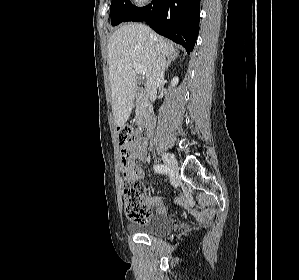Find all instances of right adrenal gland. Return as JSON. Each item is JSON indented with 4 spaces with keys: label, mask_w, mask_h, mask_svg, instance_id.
I'll return each instance as SVG.
<instances>
[{
    "label": "right adrenal gland",
    "mask_w": 299,
    "mask_h": 280,
    "mask_svg": "<svg viewBox=\"0 0 299 280\" xmlns=\"http://www.w3.org/2000/svg\"><path fill=\"white\" fill-rule=\"evenodd\" d=\"M177 57H178V53H174L173 55H171V56L168 58L167 65H166V70H167L168 67L170 66L171 62L174 61Z\"/></svg>",
    "instance_id": "right-adrenal-gland-1"
}]
</instances>
